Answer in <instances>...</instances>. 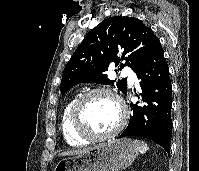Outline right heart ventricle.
Segmentation results:
<instances>
[{"label":"right heart ventricle","mask_w":199,"mask_h":171,"mask_svg":"<svg viewBox=\"0 0 199 171\" xmlns=\"http://www.w3.org/2000/svg\"><path fill=\"white\" fill-rule=\"evenodd\" d=\"M76 97H72L64 106L61 113L60 128L65 141L71 146L86 144L87 139L77 135L71 123V110Z\"/></svg>","instance_id":"1"}]
</instances>
